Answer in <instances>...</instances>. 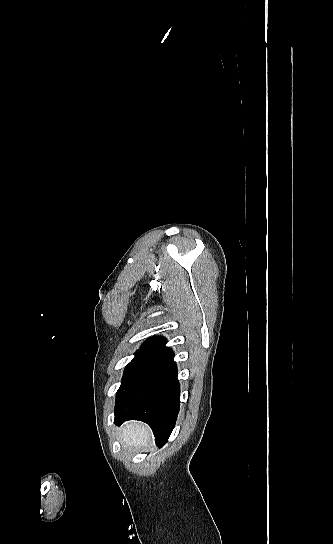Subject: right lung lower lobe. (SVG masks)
<instances>
[{
  "label": "right lung lower lobe",
  "instance_id": "98d812e1",
  "mask_svg": "<svg viewBox=\"0 0 333 544\" xmlns=\"http://www.w3.org/2000/svg\"><path fill=\"white\" fill-rule=\"evenodd\" d=\"M174 353L165 344L151 349L148 357L117 392L114 423L140 420L153 430L162 447L175 426L180 408V385Z\"/></svg>",
  "mask_w": 333,
  "mask_h": 544
}]
</instances>
